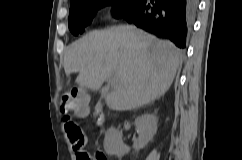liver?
Instances as JSON below:
<instances>
[{
    "instance_id": "6515ba94",
    "label": "liver",
    "mask_w": 242,
    "mask_h": 160,
    "mask_svg": "<svg viewBox=\"0 0 242 160\" xmlns=\"http://www.w3.org/2000/svg\"><path fill=\"white\" fill-rule=\"evenodd\" d=\"M182 63L181 51L171 42L134 26L120 25L92 31L75 41L64 56L66 75L78 72L76 83L99 90L115 79L105 94L115 111L140 108L163 96Z\"/></svg>"
}]
</instances>
